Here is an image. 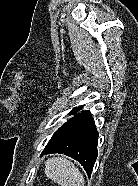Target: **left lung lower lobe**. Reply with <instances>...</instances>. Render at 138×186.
Wrapping results in <instances>:
<instances>
[{"mask_svg":"<svg viewBox=\"0 0 138 186\" xmlns=\"http://www.w3.org/2000/svg\"><path fill=\"white\" fill-rule=\"evenodd\" d=\"M81 110L74 108L70 114ZM98 132L90 111H83L62 125L51 137L42 155L60 153L77 160L90 177L97 158Z\"/></svg>","mask_w":138,"mask_h":186,"instance_id":"1","label":"left lung lower lobe"}]
</instances>
